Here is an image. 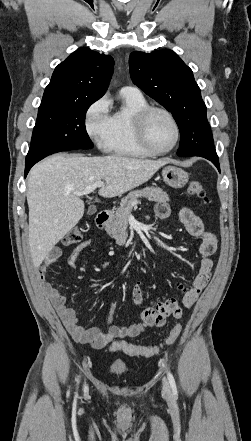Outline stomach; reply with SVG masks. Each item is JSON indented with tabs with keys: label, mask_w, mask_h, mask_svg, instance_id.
<instances>
[{
	"label": "stomach",
	"mask_w": 251,
	"mask_h": 441,
	"mask_svg": "<svg viewBox=\"0 0 251 441\" xmlns=\"http://www.w3.org/2000/svg\"><path fill=\"white\" fill-rule=\"evenodd\" d=\"M163 181L170 187L182 188L188 182L189 176L186 171L176 166H167L162 170Z\"/></svg>",
	"instance_id": "0dacf381"
}]
</instances>
